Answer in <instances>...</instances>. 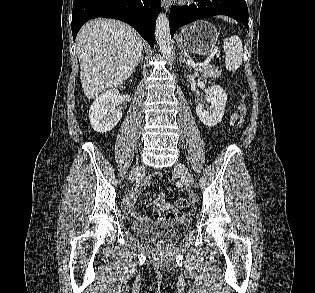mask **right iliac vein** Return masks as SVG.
<instances>
[{"label": "right iliac vein", "instance_id": "1", "mask_svg": "<svg viewBox=\"0 0 315 293\" xmlns=\"http://www.w3.org/2000/svg\"><path fill=\"white\" fill-rule=\"evenodd\" d=\"M136 174H137V170H135V171L132 173V175H131V179H135Z\"/></svg>", "mask_w": 315, "mask_h": 293}]
</instances>
